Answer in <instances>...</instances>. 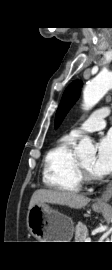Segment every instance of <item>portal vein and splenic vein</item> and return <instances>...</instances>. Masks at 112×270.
Masks as SVG:
<instances>
[{
  "label": "portal vein and splenic vein",
  "mask_w": 112,
  "mask_h": 270,
  "mask_svg": "<svg viewBox=\"0 0 112 270\" xmlns=\"http://www.w3.org/2000/svg\"><path fill=\"white\" fill-rule=\"evenodd\" d=\"M85 242H91V238H86Z\"/></svg>",
  "instance_id": "portal-vein-and-splenic-vein-1"
}]
</instances>
